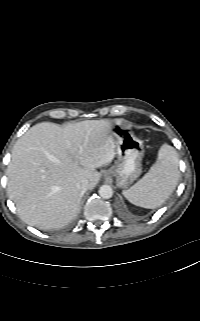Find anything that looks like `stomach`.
I'll list each match as a JSON object with an SVG mask.
<instances>
[{
    "label": "stomach",
    "mask_w": 200,
    "mask_h": 321,
    "mask_svg": "<svg viewBox=\"0 0 200 321\" xmlns=\"http://www.w3.org/2000/svg\"><path fill=\"white\" fill-rule=\"evenodd\" d=\"M112 134L116 141L118 160L105 172V177H114L119 188H128L142 173L144 156L143 142L130 127L120 122L112 124Z\"/></svg>",
    "instance_id": "1"
}]
</instances>
